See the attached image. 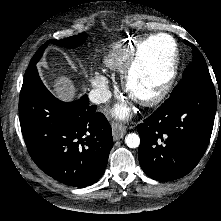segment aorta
Instances as JSON below:
<instances>
[{
	"label": "aorta",
	"mask_w": 221,
	"mask_h": 221,
	"mask_svg": "<svg viewBox=\"0 0 221 221\" xmlns=\"http://www.w3.org/2000/svg\"><path fill=\"white\" fill-rule=\"evenodd\" d=\"M125 144L129 148H137L140 145V137L136 133H129L125 137Z\"/></svg>",
	"instance_id": "aorta-1"
}]
</instances>
